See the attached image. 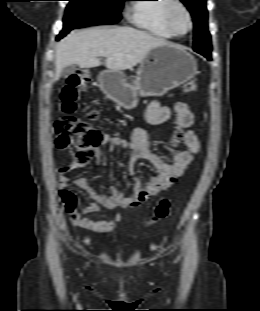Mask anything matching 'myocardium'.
<instances>
[{
    "mask_svg": "<svg viewBox=\"0 0 260 311\" xmlns=\"http://www.w3.org/2000/svg\"><path fill=\"white\" fill-rule=\"evenodd\" d=\"M176 10H181L186 15L189 26H188L187 31L184 33H180L178 31H176V29L174 28L173 14ZM164 19H165V23H166L167 28L170 30V32L173 34V36H177V37L185 36L188 33H190L193 29L192 15H191L189 9L186 7V5L183 2H181L180 0H169L168 4L165 7Z\"/></svg>",
    "mask_w": 260,
    "mask_h": 311,
    "instance_id": "f54148a6",
    "label": "myocardium"
}]
</instances>
